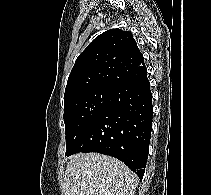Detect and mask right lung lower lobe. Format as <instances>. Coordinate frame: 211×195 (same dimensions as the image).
Masks as SVG:
<instances>
[{
	"instance_id": "1",
	"label": "right lung lower lobe",
	"mask_w": 211,
	"mask_h": 195,
	"mask_svg": "<svg viewBox=\"0 0 211 195\" xmlns=\"http://www.w3.org/2000/svg\"><path fill=\"white\" fill-rule=\"evenodd\" d=\"M147 74L114 87L107 104L66 156L97 152L124 162L142 180L152 130Z\"/></svg>"
}]
</instances>
